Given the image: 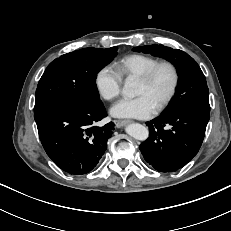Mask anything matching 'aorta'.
Segmentation results:
<instances>
[{
  "instance_id": "1",
  "label": "aorta",
  "mask_w": 231,
  "mask_h": 231,
  "mask_svg": "<svg viewBox=\"0 0 231 231\" xmlns=\"http://www.w3.org/2000/svg\"><path fill=\"white\" fill-rule=\"evenodd\" d=\"M134 89H135L134 81L130 79H126L123 88L124 95L127 97H133L135 94ZM125 130L128 135L140 141H145L149 136L148 128L138 123H133L128 125Z\"/></svg>"
}]
</instances>
